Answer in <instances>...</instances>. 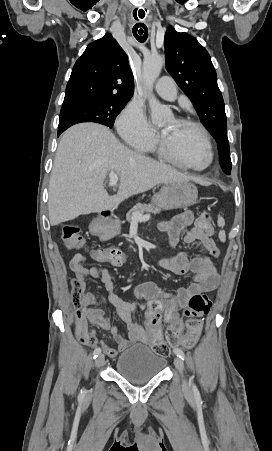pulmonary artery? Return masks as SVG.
I'll use <instances>...</instances> for the list:
<instances>
[{
  "mask_svg": "<svg viewBox=\"0 0 272 451\" xmlns=\"http://www.w3.org/2000/svg\"><path fill=\"white\" fill-rule=\"evenodd\" d=\"M155 90L165 100L173 101L177 98V86L171 77L158 79Z\"/></svg>",
  "mask_w": 272,
  "mask_h": 451,
  "instance_id": "obj_1",
  "label": "pulmonary artery"
}]
</instances>
